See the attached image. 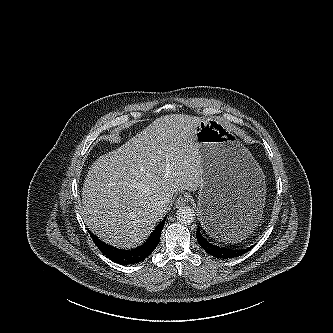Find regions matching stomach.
Listing matches in <instances>:
<instances>
[{"label":"stomach","instance_id":"obj_1","mask_svg":"<svg viewBox=\"0 0 333 333\" xmlns=\"http://www.w3.org/2000/svg\"><path fill=\"white\" fill-rule=\"evenodd\" d=\"M203 170L198 195L200 225L222 246H235L252 235L265 204V176L251 152L215 119L196 127Z\"/></svg>","mask_w":333,"mask_h":333}]
</instances>
